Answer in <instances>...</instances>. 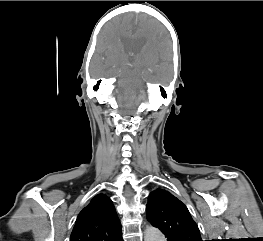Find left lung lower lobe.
I'll list each match as a JSON object with an SVG mask.
<instances>
[{"mask_svg":"<svg viewBox=\"0 0 263 241\" xmlns=\"http://www.w3.org/2000/svg\"><path fill=\"white\" fill-rule=\"evenodd\" d=\"M167 241H176V240L171 237H167Z\"/></svg>","mask_w":263,"mask_h":241,"instance_id":"obj_1","label":"left lung lower lobe"}]
</instances>
